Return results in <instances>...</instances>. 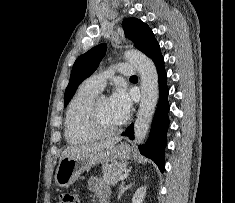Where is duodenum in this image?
<instances>
[{
	"instance_id": "410a0bca",
	"label": "duodenum",
	"mask_w": 235,
	"mask_h": 203,
	"mask_svg": "<svg viewBox=\"0 0 235 203\" xmlns=\"http://www.w3.org/2000/svg\"><path fill=\"white\" fill-rule=\"evenodd\" d=\"M102 203H107V201H102Z\"/></svg>"
}]
</instances>
